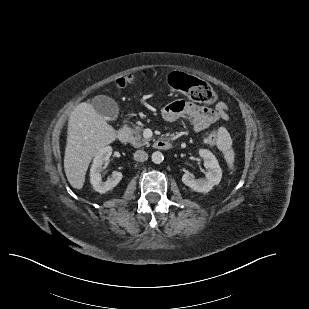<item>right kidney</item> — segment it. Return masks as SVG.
I'll use <instances>...</instances> for the list:
<instances>
[{"label": "right kidney", "mask_w": 309, "mask_h": 309, "mask_svg": "<svg viewBox=\"0 0 309 309\" xmlns=\"http://www.w3.org/2000/svg\"><path fill=\"white\" fill-rule=\"evenodd\" d=\"M112 154V147L106 146L102 148L94 157L93 163L90 169V183L93 189L99 193H106L112 190L122 180V173L114 171L105 182L102 181L101 171L102 165L105 161H108Z\"/></svg>", "instance_id": "right-kidney-1"}]
</instances>
